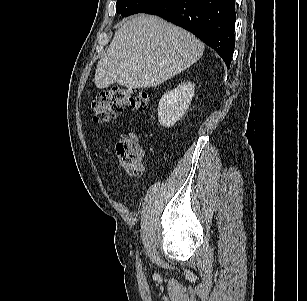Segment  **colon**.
<instances>
[{
  "label": "colon",
  "instance_id": "obj_1",
  "mask_svg": "<svg viewBox=\"0 0 307 301\" xmlns=\"http://www.w3.org/2000/svg\"><path fill=\"white\" fill-rule=\"evenodd\" d=\"M148 94L139 88H114L103 92L92 102V117L101 123L111 122L124 108L143 111L148 104ZM117 161L126 173L139 176L143 171V151L132 133L121 135L115 147Z\"/></svg>",
  "mask_w": 307,
  "mask_h": 301
}]
</instances>
